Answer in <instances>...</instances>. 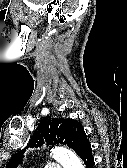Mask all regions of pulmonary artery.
I'll return each mask as SVG.
<instances>
[{"label": "pulmonary artery", "mask_w": 127, "mask_h": 168, "mask_svg": "<svg viewBox=\"0 0 127 168\" xmlns=\"http://www.w3.org/2000/svg\"><path fill=\"white\" fill-rule=\"evenodd\" d=\"M45 168H62V166L57 163H51V164L47 165Z\"/></svg>", "instance_id": "pulmonary-artery-1"}]
</instances>
